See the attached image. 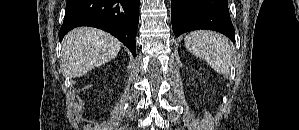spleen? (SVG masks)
I'll list each match as a JSON object with an SVG mask.
<instances>
[{
	"label": "spleen",
	"instance_id": "1",
	"mask_svg": "<svg viewBox=\"0 0 299 130\" xmlns=\"http://www.w3.org/2000/svg\"><path fill=\"white\" fill-rule=\"evenodd\" d=\"M187 50L204 59L218 74L228 77L234 49L229 40L219 33L199 30L185 36Z\"/></svg>",
	"mask_w": 299,
	"mask_h": 130
}]
</instances>
